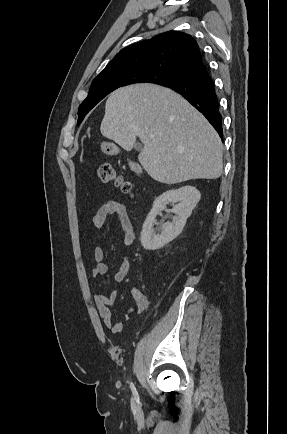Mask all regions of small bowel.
Returning <instances> with one entry per match:
<instances>
[{
	"label": "small bowel",
	"instance_id": "small-bowel-1",
	"mask_svg": "<svg viewBox=\"0 0 287 434\" xmlns=\"http://www.w3.org/2000/svg\"><path fill=\"white\" fill-rule=\"evenodd\" d=\"M116 215L118 217L121 230H122V242L124 247H129L132 245L135 239L134 229L129 218L127 208L124 204L111 200L103 204L95 215L92 217V225L95 228H101L104 226L106 220L112 216ZM93 257L95 260V265L92 268L91 275L94 278L101 277L107 273L108 267L103 261L104 251L103 248L97 246L94 249ZM130 270V261L128 256H125L119 270L114 275V280L116 282H122ZM132 297L135 301L134 305L130 307L127 311L128 314L143 313L149 305L148 299L141 289L134 288L132 290ZM117 299V292L112 291L105 295L102 293L93 294V302L95 308L102 318L106 327H108L112 333L118 334L122 331L123 325L121 322L114 320L109 306L113 305Z\"/></svg>",
	"mask_w": 287,
	"mask_h": 434
}]
</instances>
